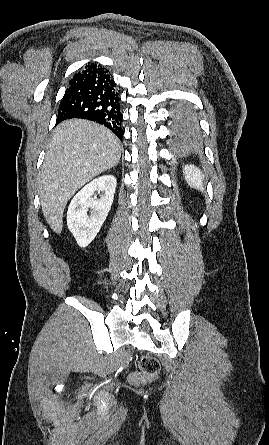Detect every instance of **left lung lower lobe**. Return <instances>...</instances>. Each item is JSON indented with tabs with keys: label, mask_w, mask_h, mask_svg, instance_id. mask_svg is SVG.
Returning a JSON list of instances; mask_svg holds the SVG:
<instances>
[{
	"label": "left lung lower lobe",
	"mask_w": 269,
	"mask_h": 445,
	"mask_svg": "<svg viewBox=\"0 0 269 445\" xmlns=\"http://www.w3.org/2000/svg\"><path fill=\"white\" fill-rule=\"evenodd\" d=\"M173 132L179 143L195 145L198 142V125L192 112L178 108L173 113Z\"/></svg>",
	"instance_id": "obj_1"
}]
</instances>
